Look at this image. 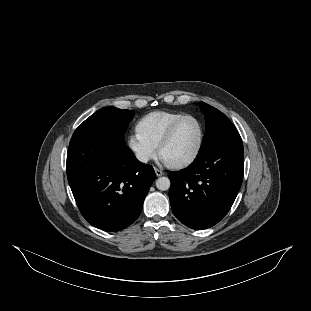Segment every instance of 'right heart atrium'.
Listing matches in <instances>:
<instances>
[{
  "instance_id": "d8ad5b80",
  "label": "right heart atrium",
  "mask_w": 311,
  "mask_h": 311,
  "mask_svg": "<svg viewBox=\"0 0 311 311\" xmlns=\"http://www.w3.org/2000/svg\"><path fill=\"white\" fill-rule=\"evenodd\" d=\"M126 144L133 157L141 164H147L156 157V149L143 142L136 134H130Z\"/></svg>"
}]
</instances>
